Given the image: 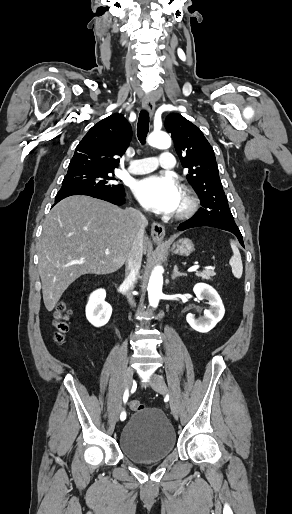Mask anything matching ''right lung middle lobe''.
<instances>
[{
	"label": "right lung middle lobe",
	"mask_w": 292,
	"mask_h": 514,
	"mask_svg": "<svg viewBox=\"0 0 292 514\" xmlns=\"http://www.w3.org/2000/svg\"><path fill=\"white\" fill-rule=\"evenodd\" d=\"M117 181L114 172H67L61 189L87 188L107 192L123 190L124 187Z\"/></svg>",
	"instance_id": "obj_1"
}]
</instances>
